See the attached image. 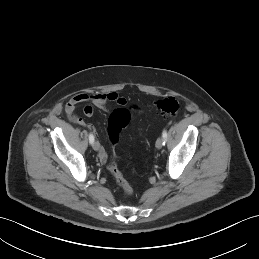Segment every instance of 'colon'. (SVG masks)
Instances as JSON below:
<instances>
[{
	"instance_id": "1",
	"label": "colon",
	"mask_w": 259,
	"mask_h": 259,
	"mask_svg": "<svg viewBox=\"0 0 259 259\" xmlns=\"http://www.w3.org/2000/svg\"><path fill=\"white\" fill-rule=\"evenodd\" d=\"M68 109L69 105H67V110ZM155 110L166 118L174 117L180 110V103L174 97H167L156 102ZM130 121L131 114L126 108H117L112 111L107 124V134L112 147L119 143L124 130L129 125ZM106 161L108 162V169L110 173L122 189L123 194L125 196L132 195L133 188L119 170L114 152L107 155Z\"/></svg>"
}]
</instances>
